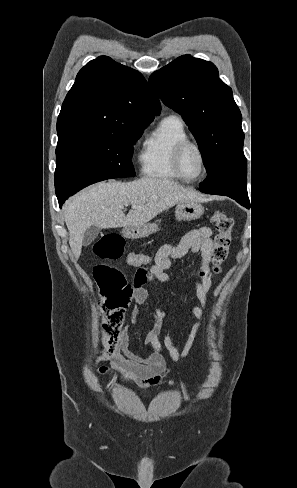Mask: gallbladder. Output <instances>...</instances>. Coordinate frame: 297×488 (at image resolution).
I'll return each mask as SVG.
<instances>
[{
    "mask_svg": "<svg viewBox=\"0 0 297 488\" xmlns=\"http://www.w3.org/2000/svg\"><path fill=\"white\" fill-rule=\"evenodd\" d=\"M100 228L97 226H90L84 233L83 245L88 246L91 244L98 236Z\"/></svg>",
    "mask_w": 297,
    "mask_h": 488,
    "instance_id": "gallbladder-1",
    "label": "gallbladder"
}]
</instances>
